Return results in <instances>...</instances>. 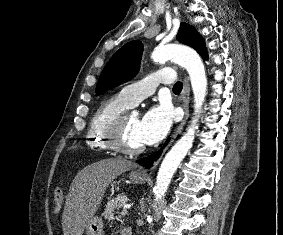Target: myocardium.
I'll use <instances>...</instances> for the list:
<instances>
[{
	"label": "myocardium",
	"instance_id": "myocardium-1",
	"mask_svg": "<svg viewBox=\"0 0 283 235\" xmlns=\"http://www.w3.org/2000/svg\"><path fill=\"white\" fill-rule=\"evenodd\" d=\"M128 116L129 114L124 112L109 124L106 130L107 141L110 147L117 153L124 155H138L144 151V145L130 148L124 143L123 135Z\"/></svg>",
	"mask_w": 283,
	"mask_h": 235
}]
</instances>
